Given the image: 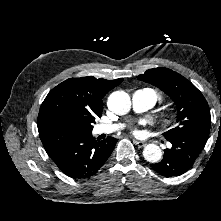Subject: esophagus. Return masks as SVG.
<instances>
[{"instance_id": "34e87169", "label": "esophagus", "mask_w": 221, "mask_h": 221, "mask_svg": "<svg viewBox=\"0 0 221 221\" xmlns=\"http://www.w3.org/2000/svg\"><path fill=\"white\" fill-rule=\"evenodd\" d=\"M133 143H134L135 145H137L138 147H140V148H142V147H144V146L146 145V142H144V141H139V140H136V139H133Z\"/></svg>"}]
</instances>
